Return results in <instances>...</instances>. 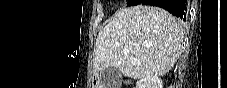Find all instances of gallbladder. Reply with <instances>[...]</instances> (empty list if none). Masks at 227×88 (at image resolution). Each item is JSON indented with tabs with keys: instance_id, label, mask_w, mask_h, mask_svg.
<instances>
[{
	"instance_id": "1",
	"label": "gallbladder",
	"mask_w": 227,
	"mask_h": 88,
	"mask_svg": "<svg viewBox=\"0 0 227 88\" xmlns=\"http://www.w3.org/2000/svg\"><path fill=\"white\" fill-rule=\"evenodd\" d=\"M120 71L115 67H108L100 74L101 83L106 88H115L120 84Z\"/></svg>"
}]
</instances>
